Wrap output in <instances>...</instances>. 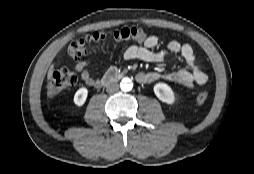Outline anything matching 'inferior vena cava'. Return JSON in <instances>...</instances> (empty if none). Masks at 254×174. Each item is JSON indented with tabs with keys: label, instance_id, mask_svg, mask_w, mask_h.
I'll use <instances>...</instances> for the list:
<instances>
[{
	"label": "inferior vena cava",
	"instance_id": "602c4592",
	"mask_svg": "<svg viewBox=\"0 0 254 174\" xmlns=\"http://www.w3.org/2000/svg\"><path fill=\"white\" fill-rule=\"evenodd\" d=\"M119 90V84L116 82H112L110 84L107 85L106 87V91L108 93H115Z\"/></svg>",
	"mask_w": 254,
	"mask_h": 174
}]
</instances>
